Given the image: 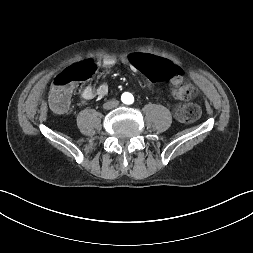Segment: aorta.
I'll return each instance as SVG.
<instances>
[{
    "mask_svg": "<svg viewBox=\"0 0 253 253\" xmlns=\"http://www.w3.org/2000/svg\"><path fill=\"white\" fill-rule=\"evenodd\" d=\"M121 99L124 103L130 104L133 100V96L130 93H124Z\"/></svg>",
    "mask_w": 253,
    "mask_h": 253,
    "instance_id": "obj_1",
    "label": "aorta"
}]
</instances>
